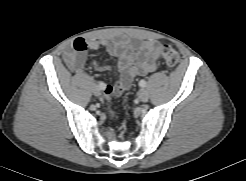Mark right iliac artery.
I'll return each instance as SVG.
<instances>
[{"label":"right iliac artery","instance_id":"1","mask_svg":"<svg viewBox=\"0 0 246 181\" xmlns=\"http://www.w3.org/2000/svg\"><path fill=\"white\" fill-rule=\"evenodd\" d=\"M98 87H99L101 90H103V89H104V84L99 82Z\"/></svg>","mask_w":246,"mask_h":181}]
</instances>
